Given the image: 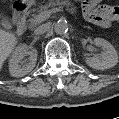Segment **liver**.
Instances as JSON below:
<instances>
[{
	"mask_svg": "<svg viewBox=\"0 0 119 119\" xmlns=\"http://www.w3.org/2000/svg\"><path fill=\"white\" fill-rule=\"evenodd\" d=\"M17 44V38L13 33L0 29V70L4 61L14 50Z\"/></svg>",
	"mask_w": 119,
	"mask_h": 119,
	"instance_id": "liver-1",
	"label": "liver"
}]
</instances>
